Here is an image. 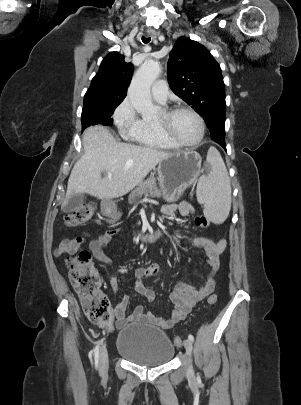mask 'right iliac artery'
Listing matches in <instances>:
<instances>
[{"instance_id":"1","label":"right iliac artery","mask_w":301,"mask_h":405,"mask_svg":"<svg viewBox=\"0 0 301 405\" xmlns=\"http://www.w3.org/2000/svg\"><path fill=\"white\" fill-rule=\"evenodd\" d=\"M99 347H100V341L97 342V345L93 349L96 367H98V364H99Z\"/></svg>"}]
</instances>
